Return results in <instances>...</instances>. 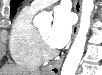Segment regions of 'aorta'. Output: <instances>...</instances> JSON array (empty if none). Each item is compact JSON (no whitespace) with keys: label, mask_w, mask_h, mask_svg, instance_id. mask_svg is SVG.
Listing matches in <instances>:
<instances>
[{"label":"aorta","mask_w":102,"mask_h":75,"mask_svg":"<svg viewBox=\"0 0 102 75\" xmlns=\"http://www.w3.org/2000/svg\"><path fill=\"white\" fill-rule=\"evenodd\" d=\"M94 9V0L82 1V13L80 19V26L76 38L69 50V53L64 61L61 75H75L78 65L81 61L86 40L87 33L91 22V13ZM52 15L47 12H41L34 18L36 26H43L44 24H51Z\"/></svg>","instance_id":"aorta-1"}]
</instances>
